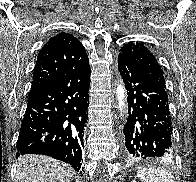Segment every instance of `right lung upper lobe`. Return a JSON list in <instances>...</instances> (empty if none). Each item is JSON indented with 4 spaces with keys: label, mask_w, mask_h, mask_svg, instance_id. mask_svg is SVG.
Wrapping results in <instances>:
<instances>
[{
    "label": "right lung upper lobe",
    "mask_w": 196,
    "mask_h": 182,
    "mask_svg": "<svg viewBox=\"0 0 196 182\" xmlns=\"http://www.w3.org/2000/svg\"><path fill=\"white\" fill-rule=\"evenodd\" d=\"M85 57L84 46L71 34L61 32L51 37L37 56L30 95L68 72Z\"/></svg>",
    "instance_id": "cb5924a9"
}]
</instances>
